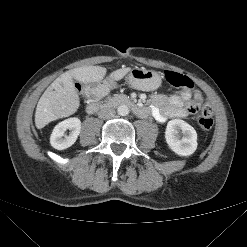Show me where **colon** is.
<instances>
[{
	"instance_id": "colon-1",
	"label": "colon",
	"mask_w": 247,
	"mask_h": 247,
	"mask_svg": "<svg viewBox=\"0 0 247 247\" xmlns=\"http://www.w3.org/2000/svg\"><path fill=\"white\" fill-rule=\"evenodd\" d=\"M164 78L168 84L175 88H181L187 91H192L194 89L193 81L180 73L167 70L164 72ZM200 104L197 102H192L188 104L187 111L189 113H196L200 110ZM213 126V109L210 105H204L201 109V115L199 118V127L203 132H208Z\"/></svg>"
}]
</instances>
